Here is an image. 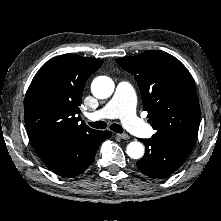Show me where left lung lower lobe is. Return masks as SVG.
Returning <instances> with one entry per match:
<instances>
[{
  "mask_svg": "<svg viewBox=\"0 0 221 221\" xmlns=\"http://www.w3.org/2000/svg\"><path fill=\"white\" fill-rule=\"evenodd\" d=\"M145 155L137 162L139 170L151 178H165L175 172L187 159L193 146L165 136L140 139Z\"/></svg>",
  "mask_w": 221,
  "mask_h": 221,
  "instance_id": "0a47b994",
  "label": "left lung lower lobe"
}]
</instances>
